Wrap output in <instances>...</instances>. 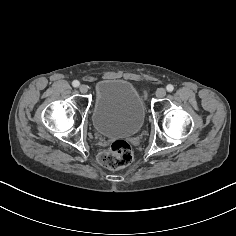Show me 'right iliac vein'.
Here are the masks:
<instances>
[{
  "label": "right iliac vein",
  "instance_id": "63e3f726",
  "mask_svg": "<svg viewBox=\"0 0 236 236\" xmlns=\"http://www.w3.org/2000/svg\"><path fill=\"white\" fill-rule=\"evenodd\" d=\"M79 91L83 94L87 93L88 92V87L84 84L80 85L79 87Z\"/></svg>",
  "mask_w": 236,
  "mask_h": 236
}]
</instances>
